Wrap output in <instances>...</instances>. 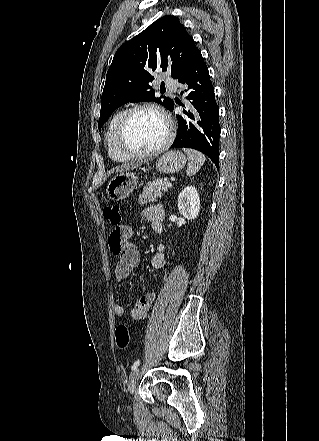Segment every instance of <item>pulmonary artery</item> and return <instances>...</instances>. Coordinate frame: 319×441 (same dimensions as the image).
I'll return each instance as SVG.
<instances>
[{
    "label": "pulmonary artery",
    "instance_id": "e3ab8cb5",
    "mask_svg": "<svg viewBox=\"0 0 319 441\" xmlns=\"http://www.w3.org/2000/svg\"><path fill=\"white\" fill-rule=\"evenodd\" d=\"M164 83H165V85H166L168 88H170V89L173 90V91H176V89H177V84H176V82H175L172 78H170V77H165V78H164Z\"/></svg>",
    "mask_w": 319,
    "mask_h": 441
}]
</instances>
